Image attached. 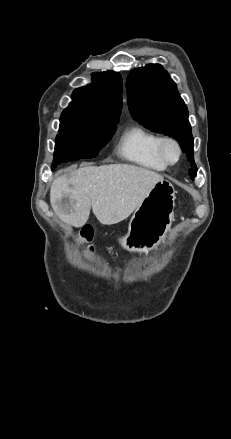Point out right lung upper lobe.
Instances as JSON below:
<instances>
[{"label":"right lung upper lobe","mask_w":231,"mask_h":439,"mask_svg":"<svg viewBox=\"0 0 231 439\" xmlns=\"http://www.w3.org/2000/svg\"><path fill=\"white\" fill-rule=\"evenodd\" d=\"M61 118L78 117L116 125L122 109V78L119 73H96L92 84L76 89Z\"/></svg>","instance_id":"obj_1"}]
</instances>
